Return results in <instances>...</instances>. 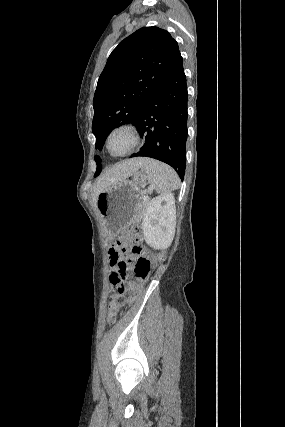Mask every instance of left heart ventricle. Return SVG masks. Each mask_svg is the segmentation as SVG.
Returning <instances> with one entry per match:
<instances>
[{
	"label": "left heart ventricle",
	"instance_id": "1",
	"mask_svg": "<svg viewBox=\"0 0 285 427\" xmlns=\"http://www.w3.org/2000/svg\"><path fill=\"white\" fill-rule=\"evenodd\" d=\"M131 144V137L127 132H118L110 140V149L115 153L124 152Z\"/></svg>",
	"mask_w": 285,
	"mask_h": 427
}]
</instances>
